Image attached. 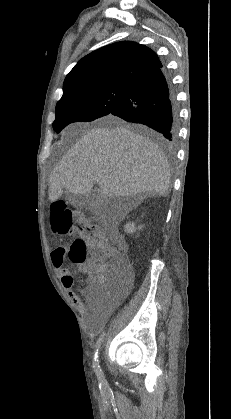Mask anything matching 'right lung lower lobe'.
<instances>
[{
	"label": "right lung lower lobe",
	"mask_w": 231,
	"mask_h": 419,
	"mask_svg": "<svg viewBox=\"0 0 231 419\" xmlns=\"http://www.w3.org/2000/svg\"><path fill=\"white\" fill-rule=\"evenodd\" d=\"M109 115L142 123L160 132L169 142L177 137L178 108L173 86L162 66L138 80L127 97Z\"/></svg>",
	"instance_id": "obj_1"
}]
</instances>
